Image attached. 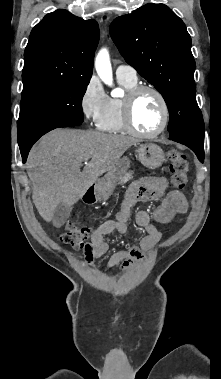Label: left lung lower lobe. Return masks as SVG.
I'll return each mask as SVG.
<instances>
[{"mask_svg":"<svg viewBox=\"0 0 221 379\" xmlns=\"http://www.w3.org/2000/svg\"><path fill=\"white\" fill-rule=\"evenodd\" d=\"M169 139L179 142L181 144H184L188 146L191 150L195 152L198 159L203 162L204 161V148L203 143L196 142L194 140L183 138V137H169Z\"/></svg>","mask_w":221,"mask_h":379,"instance_id":"obj_1","label":"left lung lower lobe"}]
</instances>
